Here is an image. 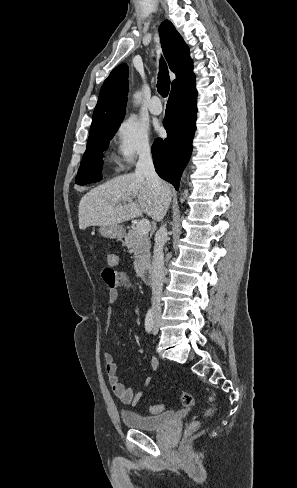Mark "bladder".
<instances>
[{
    "label": "bladder",
    "mask_w": 297,
    "mask_h": 488,
    "mask_svg": "<svg viewBox=\"0 0 297 488\" xmlns=\"http://www.w3.org/2000/svg\"><path fill=\"white\" fill-rule=\"evenodd\" d=\"M169 411L158 415H140L132 411L121 412V420L125 427L140 431H157L164 428L173 418Z\"/></svg>",
    "instance_id": "bladder-1"
}]
</instances>
